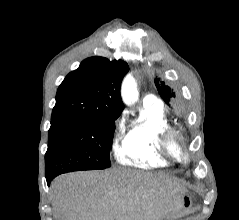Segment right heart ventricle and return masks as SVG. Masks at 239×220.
Returning a JSON list of instances; mask_svg holds the SVG:
<instances>
[{
	"label": "right heart ventricle",
	"mask_w": 239,
	"mask_h": 220,
	"mask_svg": "<svg viewBox=\"0 0 239 220\" xmlns=\"http://www.w3.org/2000/svg\"><path fill=\"white\" fill-rule=\"evenodd\" d=\"M170 128L162 106L143 104L116 148L117 161L136 168H156L169 165L159 149L161 132Z\"/></svg>",
	"instance_id": "obj_1"
}]
</instances>
